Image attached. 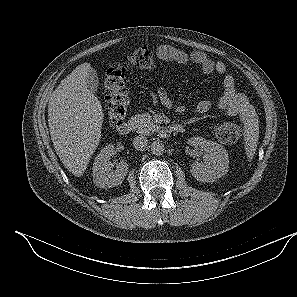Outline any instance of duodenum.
Instances as JSON below:
<instances>
[{"label":"duodenum","instance_id":"duodenum-1","mask_svg":"<svg viewBox=\"0 0 297 297\" xmlns=\"http://www.w3.org/2000/svg\"><path fill=\"white\" fill-rule=\"evenodd\" d=\"M135 128V122L132 120L124 121L117 126V131L121 135L130 134ZM183 126L180 124H173L162 128L159 132L160 136L168 137L174 133H181L183 131Z\"/></svg>","mask_w":297,"mask_h":297}]
</instances>
